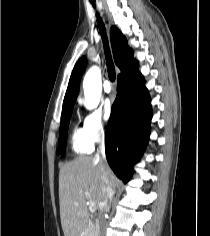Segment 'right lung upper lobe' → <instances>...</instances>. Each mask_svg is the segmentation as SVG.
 Wrapping results in <instances>:
<instances>
[{"mask_svg":"<svg viewBox=\"0 0 210 236\" xmlns=\"http://www.w3.org/2000/svg\"><path fill=\"white\" fill-rule=\"evenodd\" d=\"M110 39L115 63L121 70V74L119 75H123L136 68L138 63L133 59V52L128 47L126 38L116 26H112L110 29ZM86 63L87 60L85 57L80 58L72 71L63 102L62 112L72 110L73 108L79 92L80 79L86 68Z\"/></svg>","mask_w":210,"mask_h":236,"instance_id":"obj_1","label":"right lung upper lobe"}]
</instances>
